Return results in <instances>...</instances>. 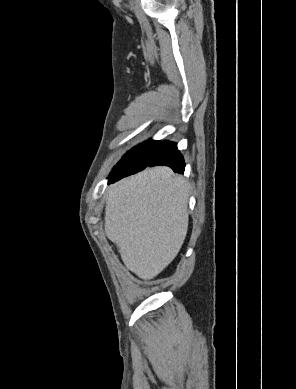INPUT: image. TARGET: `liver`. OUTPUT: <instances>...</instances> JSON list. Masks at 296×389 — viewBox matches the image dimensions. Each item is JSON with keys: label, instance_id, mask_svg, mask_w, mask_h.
I'll return each mask as SVG.
<instances>
[{"label": "liver", "instance_id": "6515ba94", "mask_svg": "<svg viewBox=\"0 0 296 389\" xmlns=\"http://www.w3.org/2000/svg\"><path fill=\"white\" fill-rule=\"evenodd\" d=\"M188 199V183L168 167L146 169L109 188L105 234L139 278H154L178 254L188 230Z\"/></svg>", "mask_w": 296, "mask_h": 389}]
</instances>
